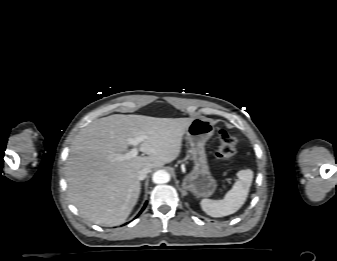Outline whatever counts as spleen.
Instances as JSON below:
<instances>
[{
    "label": "spleen",
    "instance_id": "1",
    "mask_svg": "<svg viewBox=\"0 0 337 261\" xmlns=\"http://www.w3.org/2000/svg\"><path fill=\"white\" fill-rule=\"evenodd\" d=\"M238 180L222 200L203 199L200 205L205 213L212 217H223L238 211L245 203L253 180L250 169L237 172Z\"/></svg>",
    "mask_w": 337,
    "mask_h": 261
}]
</instances>
